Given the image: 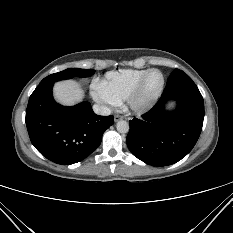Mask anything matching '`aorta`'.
I'll list each match as a JSON object with an SVG mask.
<instances>
[{"instance_id": "obj_1", "label": "aorta", "mask_w": 233, "mask_h": 233, "mask_svg": "<svg viewBox=\"0 0 233 233\" xmlns=\"http://www.w3.org/2000/svg\"><path fill=\"white\" fill-rule=\"evenodd\" d=\"M116 128L119 133H127L129 131V124L128 122L121 120L117 122Z\"/></svg>"}]
</instances>
